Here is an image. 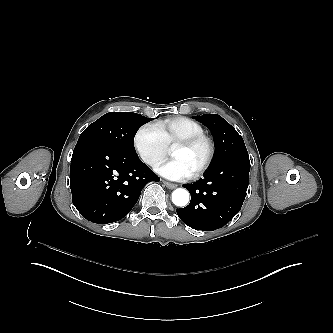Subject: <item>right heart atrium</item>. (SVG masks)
Listing matches in <instances>:
<instances>
[{
  "mask_svg": "<svg viewBox=\"0 0 333 333\" xmlns=\"http://www.w3.org/2000/svg\"><path fill=\"white\" fill-rule=\"evenodd\" d=\"M134 148L141 160L151 169H156L168 152L164 136L159 127L152 123L143 125L136 133Z\"/></svg>",
  "mask_w": 333,
  "mask_h": 333,
  "instance_id": "d8ad5b80",
  "label": "right heart atrium"
}]
</instances>
